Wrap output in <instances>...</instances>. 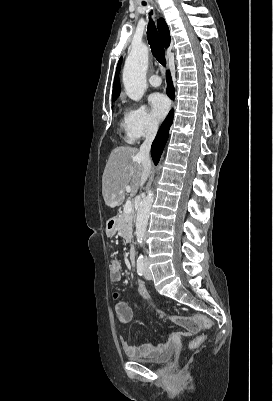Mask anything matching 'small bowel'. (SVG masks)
Returning a JSON list of instances; mask_svg holds the SVG:
<instances>
[{
  "instance_id": "c3829d8e",
  "label": "small bowel",
  "mask_w": 273,
  "mask_h": 401,
  "mask_svg": "<svg viewBox=\"0 0 273 401\" xmlns=\"http://www.w3.org/2000/svg\"><path fill=\"white\" fill-rule=\"evenodd\" d=\"M121 279V262L117 259L111 261L109 265V280L111 282H118ZM114 309L117 313L118 321L121 324H127L133 319V312L131 308L125 302H116ZM173 321H185V317L180 316V319H172ZM172 338H189L191 333L187 330L173 331L171 333ZM170 345V341L159 344L155 347H140L130 345L127 341H122V347L129 355L133 357L137 356H156L163 349H166Z\"/></svg>"
}]
</instances>
